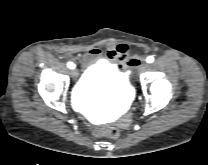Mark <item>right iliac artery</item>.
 I'll return each mask as SVG.
<instances>
[{
    "mask_svg": "<svg viewBox=\"0 0 208 165\" xmlns=\"http://www.w3.org/2000/svg\"><path fill=\"white\" fill-rule=\"evenodd\" d=\"M67 66H68L70 69L75 68V65H74L72 62H68Z\"/></svg>",
    "mask_w": 208,
    "mask_h": 165,
    "instance_id": "right-iliac-artery-1",
    "label": "right iliac artery"
}]
</instances>
